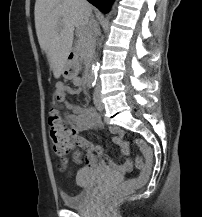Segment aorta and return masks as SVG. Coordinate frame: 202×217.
Masks as SVG:
<instances>
[{
    "instance_id": "aorta-1",
    "label": "aorta",
    "mask_w": 202,
    "mask_h": 217,
    "mask_svg": "<svg viewBox=\"0 0 202 217\" xmlns=\"http://www.w3.org/2000/svg\"><path fill=\"white\" fill-rule=\"evenodd\" d=\"M98 68H99V63L97 60H95V62H93V64H92V68H91V75H92V79L94 82L96 81Z\"/></svg>"
}]
</instances>
